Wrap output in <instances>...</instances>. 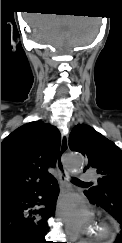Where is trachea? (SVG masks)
<instances>
[{"label": "trachea", "instance_id": "trachea-1", "mask_svg": "<svg viewBox=\"0 0 122 243\" xmlns=\"http://www.w3.org/2000/svg\"><path fill=\"white\" fill-rule=\"evenodd\" d=\"M73 182H80V183H83L81 180L77 179V178H73ZM50 186V183L47 185V187Z\"/></svg>", "mask_w": 122, "mask_h": 243}]
</instances>
